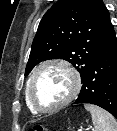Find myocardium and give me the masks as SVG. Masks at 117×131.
Here are the masks:
<instances>
[{"label": "myocardium", "mask_w": 117, "mask_h": 131, "mask_svg": "<svg viewBox=\"0 0 117 131\" xmlns=\"http://www.w3.org/2000/svg\"><path fill=\"white\" fill-rule=\"evenodd\" d=\"M48 67H60V68L64 69L71 77L72 87H71V91L68 94V96L63 101H61L59 104H57L53 107H50V108H43L36 102L34 95H33L32 88H33V82H34L36 76L38 75V73L41 70L48 68ZM80 88H81V77H80L79 72L73 66H71L69 63H67L63 60H50V61H46V62L41 63L32 72V74L27 82V95H28V99H29L32 107L34 108V110L36 112H38V113H52V112L62 109L63 107L68 105L70 102H72L75 99V97L78 95Z\"/></svg>", "instance_id": "myocardium-1"}]
</instances>
